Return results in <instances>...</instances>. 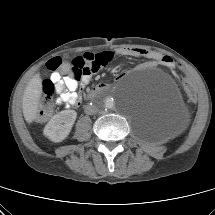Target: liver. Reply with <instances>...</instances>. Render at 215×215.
Segmentation results:
<instances>
[{
    "label": "liver",
    "instance_id": "liver-1",
    "mask_svg": "<svg viewBox=\"0 0 215 215\" xmlns=\"http://www.w3.org/2000/svg\"><path fill=\"white\" fill-rule=\"evenodd\" d=\"M41 94L42 79L39 74H35L24 91L22 101L23 116L28 123L37 117Z\"/></svg>",
    "mask_w": 215,
    "mask_h": 215
}]
</instances>
